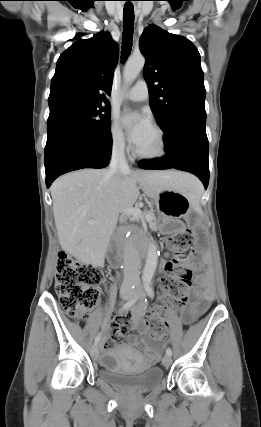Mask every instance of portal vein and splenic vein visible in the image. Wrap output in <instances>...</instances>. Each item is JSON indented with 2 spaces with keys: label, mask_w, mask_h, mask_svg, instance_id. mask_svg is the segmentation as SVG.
I'll list each match as a JSON object with an SVG mask.
<instances>
[{
  "label": "portal vein and splenic vein",
  "mask_w": 261,
  "mask_h": 427,
  "mask_svg": "<svg viewBox=\"0 0 261 427\" xmlns=\"http://www.w3.org/2000/svg\"><path fill=\"white\" fill-rule=\"evenodd\" d=\"M123 213L126 214V215H131L134 218H139V217L143 216V217H146V219H149V216L146 213L142 212L139 208L129 207V208H126L123 211ZM89 223L90 224H94L95 222L94 221H90Z\"/></svg>",
  "instance_id": "1"
}]
</instances>
